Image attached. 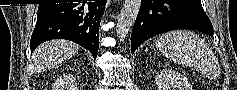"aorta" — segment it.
<instances>
[{
  "label": "aorta",
  "instance_id": "obj_1",
  "mask_svg": "<svg viewBox=\"0 0 237 90\" xmlns=\"http://www.w3.org/2000/svg\"><path fill=\"white\" fill-rule=\"evenodd\" d=\"M142 0H124L120 14L117 18L116 36L120 42L127 38L139 14Z\"/></svg>",
  "mask_w": 237,
  "mask_h": 90
}]
</instances>
